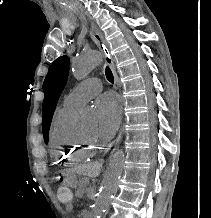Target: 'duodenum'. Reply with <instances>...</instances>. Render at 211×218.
Returning a JSON list of instances; mask_svg holds the SVG:
<instances>
[{"label":"duodenum","instance_id":"410a0bca","mask_svg":"<svg viewBox=\"0 0 211 218\" xmlns=\"http://www.w3.org/2000/svg\"><path fill=\"white\" fill-rule=\"evenodd\" d=\"M81 217L82 218H92V214L89 210L84 209L81 211Z\"/></svg>","mask_w":211,"mask_h":218}]
</instances>
